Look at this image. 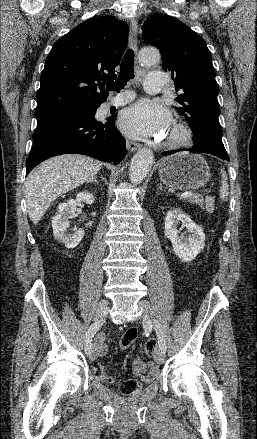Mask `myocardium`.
I'll list each match as a JSON object with an SVG mask.
<instances>
[{
  "mask_svg": "<svg viewBox=\"0 0 257 439\" xmlns=\"http://www.w3.org/2000/svg\"><path fill=\"white\" fill-rule=\"evenodd\" d=\"M174 137L166 140L164 146L170 150H176L190 145L192 141L191 130L184 124H175L172 127Z\"/></svg>",
  "mask_w": 257,
  "mask_h": 439,
  "instance_id": "obj_1",
  "label": "myocardium"
}]
</instances>
